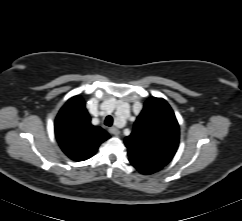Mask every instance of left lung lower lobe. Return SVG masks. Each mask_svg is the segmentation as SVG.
<instances>
[{
	"label": "left lung lower lobe",
	"mask_w": 242,
	"mask_h": 221,
	"mask_svg": "<svg viewBox=\"0 0 242 221\" xmlns=\"http://www.w3.org/2000/svg\"><path fill=\"white\" fill-rule=\"evenodd\" d=\"M129 161L142 174H152L162 168L161 166H158V165L142 163L134 160H129Z\"/></svg>",
	"instance_id": "obj_1"
}]
</instances>
